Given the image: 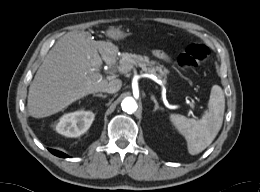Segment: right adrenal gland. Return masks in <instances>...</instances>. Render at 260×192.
I'll return each instance as SVG.
<instances>
[{"label": "right adrenal gland", "instance_id": "right-adrenal-gland-1", "mask_svg": "<svg viewBox=\"0 0 260 192\" xmlns=\"http://www.w3.org/2000/svg\"><path fill=\"white\" fill-rule=\"evenodd\" d=\"M93 96L102 97V98H106V97H107V95H103V94H101V93H99V94H93Z\"/></svg>", "mask_w": 260, "mask_h": 192}]
</instances>
